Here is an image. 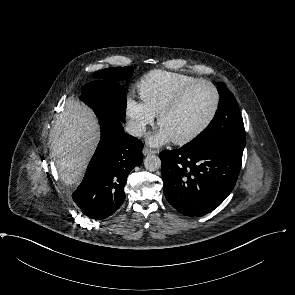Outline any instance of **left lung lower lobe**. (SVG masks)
<instances>
[{"label":"left lung lower lobe","mask_w":295,"mask_h":295,"mask_svg":"<svg viewBox=\"0 0 295 295\" xmlns=\"http://www.w3.org/2000/svg\"><path fill=\"white\" fill-rule=\"evenodd\" d=\"M243 152L223 145L183 147L160 153L163 192L186 216H204L233 190Z\"/></svg>","instance_id":"0a47b994"}]
</instances>
